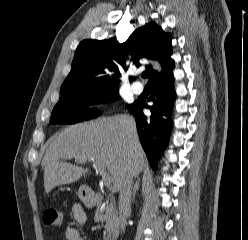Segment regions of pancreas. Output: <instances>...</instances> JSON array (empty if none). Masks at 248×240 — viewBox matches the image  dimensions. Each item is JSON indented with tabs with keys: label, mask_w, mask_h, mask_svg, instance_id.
Instances as JSON below:
<instances>
[{
	"label": "pancreas",
	"mask_w": 248,
	"mask_h": 240,
	"mask_svg": "<svg viewBox=\"0 0 248 240\" xmlns=\"http://www.w3.org/2000/svg\"><path fill=\"white\" fill-rule=\"evenodd\" d=\"M95 218L106 223L104 240H114L119 227V220L115 207L112 204H109L101 209V206L99 205L95 212Z\"/></svg>",
	"instance_id": "obj_1"
}]
</instances>
